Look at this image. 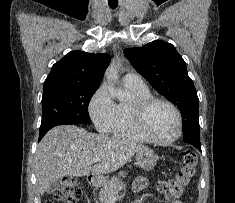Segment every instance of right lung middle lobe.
Here are the masks:
<instances>
[{"mask_svg": "<svg viewBox=\"0 0 235 203\" xmlns=\"http://www.w3.org/2000/svg\"><path fill=\"white\" fill-rule=\"evenodd\" d=\"M97 88L85 84L44 87L40 130L61 124H90L88 104Z\"/></svg>", "mask_w": 235, "mask_h": 203, "instance_id": "obj_1", "label": "right lung middle lobe"}]
</instances>
